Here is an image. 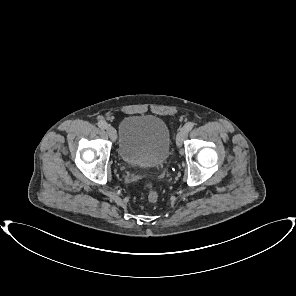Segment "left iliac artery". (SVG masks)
Masks as SVG:
<instances>
[{
	"instance_id": "obj_1",
	"label": "left iliac artery",
	"mask_w": 296,
	"mask_h": 296,
	"mask_svg": "<svg viewBox=\"0 0 296 296\" xmlns=\"http://www.w3.org/2000/svg\"><path fill=\"white\" fill-rule=\"evenodd\" d=\"M193 127H194V123L188 122L185 124V126L183 128H185L189 132Z\"/></svg>"
}]
</instances>
